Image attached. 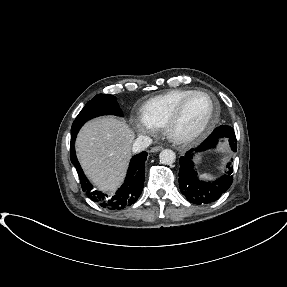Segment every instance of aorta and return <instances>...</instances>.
Segmentation results:
<instances>
[{
    "instance_id": "762f6f07",
    "label": "aorta",
    "mask_w": 287,
    "mask_h": 287,
    "mask_svg": "<svg viewBox=\"0 0 287 287\" xmlns=\"http://www.w3.org/2000/svg\"><path fill=\"white\" fill-rule=\"evenodd\" d=\"M159 159L162 164L170 165L175 162L176 155L171 149H164L160 152Z\"/></svg>"
}]
</instances>
